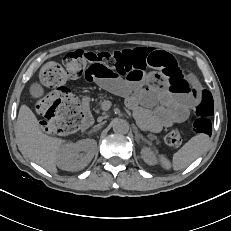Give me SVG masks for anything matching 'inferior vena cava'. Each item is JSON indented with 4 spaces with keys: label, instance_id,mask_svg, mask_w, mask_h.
<instances>
[{
    "label": "inferior vena cava",
    "instance_id": "1",
    "mask_svg": "<svg viewBox=\"0 0 231 231\" xmlns=\"http://www.w3.org/2000/svg\"><path fill=\"white\" fill-rule=\"evenodd\" d=\"M102 124L95 125L93 128H98L99 126L101 127Z\"/></svg>",
    "mask_w": 231,
    "mask_h": 231
}]
</instances>
